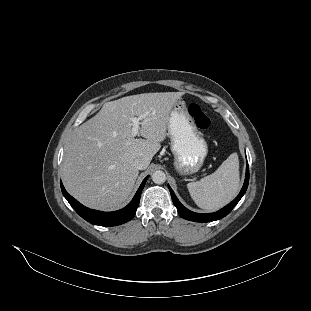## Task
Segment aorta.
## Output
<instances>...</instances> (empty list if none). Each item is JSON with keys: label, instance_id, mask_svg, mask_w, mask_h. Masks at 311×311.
Returning <instances> with one entry per match:
<instances>
[{"label": "aorta", "instance_id": "aorta-1", "mask_svg": "<svg viewBox=\"0 0 311 311\" xmlns=\"http://www.w3.org/2000/svg\"><path fill=\"white\" fill-rule=\"evenodd\" d=\"M152 181L155 184L161 185L166 181V174L161 170H157L154 173H152Z\"/></svg>", "mask_w": 311, "mask_h": 311}]
</instances>
